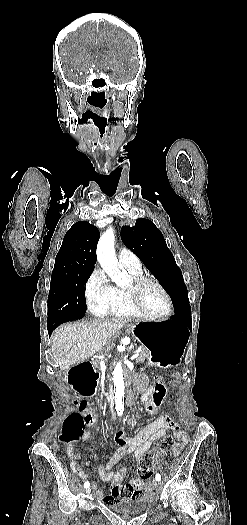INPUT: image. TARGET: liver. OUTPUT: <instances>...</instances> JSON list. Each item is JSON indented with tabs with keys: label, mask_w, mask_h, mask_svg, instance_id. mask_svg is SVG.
Here are the masks:
<instances>
[{
	"label": "liver",
	"mask_w": 247,
	"mask_h": 525,
	"mask_svg": "<svg viewBox=\"0 0 247 525\" xmlns=\"http://www.w3.org/2000/svg\"><path fill=\"white\" fill-rule=\"evenodd\" d=\"M123 327V321L94 319L79 323H64L51 335V353L60 371L70 369L103 351L115 333Z\"/></svg>",
	"instance_id": "liver-1"
}]
</instances>
